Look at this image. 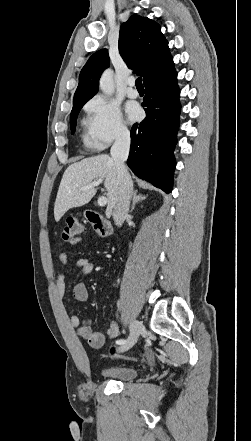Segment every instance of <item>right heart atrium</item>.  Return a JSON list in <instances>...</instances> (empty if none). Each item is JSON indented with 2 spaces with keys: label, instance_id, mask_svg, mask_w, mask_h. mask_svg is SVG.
I'll list each match as a JSON object with an SVG mask.
<instances>
[{
  "label": "right heart atrium",
  "instance_id": "d8ad5b80",
  "mask_svg": "<svg viewBox=\"0 0 251 441\" xmlns=\"http://www.w3.org/2000/svg\"><path fill=\"white\" fill-rule=\"evenodd\" d=\"M89 145L103 149L116 140L128 137L129 129L119 106L104 96H94L85 105Z\"/></svg>",
  "mask_w": 251,
  "mask_h": 441
}]
</instances>
